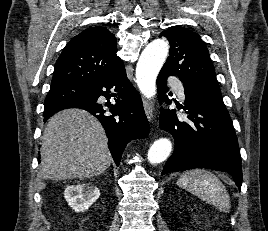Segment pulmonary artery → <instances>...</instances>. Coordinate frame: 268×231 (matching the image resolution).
<instances>
[{"mask_svg":"<svg viewBox=\"0 0 268 231\" xmlns=\"http://www.w3.org/2000/svg\"><path fill=\"white\" fill-rule=\"evenodd\" d=\"M171 85L173 87L175 94L178 96V98L184 101L186 98L184 87L180 83H176V82L172 83Z\"/></svg>","mask_w":268,"mask_h":231,"instance_id":"1","label":"pulmonary artery"}]
</instances>
